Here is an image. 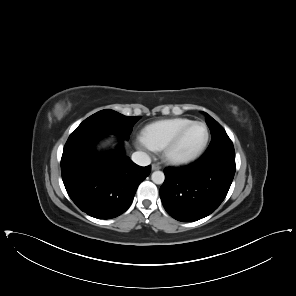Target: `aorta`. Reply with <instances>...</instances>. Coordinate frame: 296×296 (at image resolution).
I'll return each mask as SVG.
<instances>
[{
    "mask_svg": "<svg viewBox=\"0 0 296 296\" xmlns=\"http://www.w3.org/2000/svg\"><path fill=\"white\" fill-rule=\"evenodd\" d=\"M151 180L155 184H162L165 180V175L162 171H154L151 175Z\"/></svg>",
    "mask_w": 296,
    "mask_h": 296,
    "instance_id": "obj_1",
    "label": "aorta"
}]
</instances>
